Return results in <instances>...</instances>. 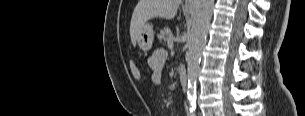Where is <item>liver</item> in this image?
Masks as SVG:
<instances>
[{"instance_id":"liver-1","label":"liver","mask_w":305,"mask_h":116,"mask_svg":"<svg viewBox=\"0 0 305 116\" xmlns=\"http://www.w3.org/2000/svg\"><path fill=\"white\" fill-rule=\"evenodd\" d=\"M180 4L181 0H140L133 11L130 23L132 44L136 45V41L148 20L158 17L173 19Z\"/></svg>"}]
</instances>
